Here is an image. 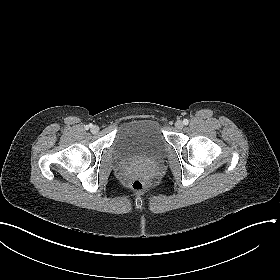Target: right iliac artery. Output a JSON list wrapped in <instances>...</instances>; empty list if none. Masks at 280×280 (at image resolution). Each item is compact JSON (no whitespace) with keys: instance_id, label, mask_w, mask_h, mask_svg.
<instances>
[{"instance_id":"1","label":"right iliac artery","mask_w":280,"mask_h":280,"mask_svg":"<svg viewBox=\"0 0 280 280\" xmlns=\"http://www.w3.org/2000/svg\"><path fill=\"white\" fill-rule=\"evenodd\" d=\"M92 126H93L92 124L86 125V126H85V129L88 130V129L91 128Z\"/></svg>"}]
</instances>
